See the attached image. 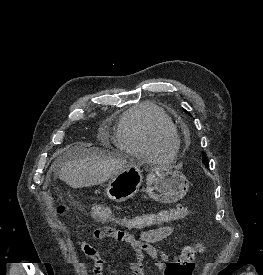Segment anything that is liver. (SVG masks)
<instances>
[{
	"label": "liver",
	"instance_id": "obj_1",
	"mask_svg": "<svg viewBox=\"0 0 263 275\" xmlns=\"http://www.w3.org/2000/svg\"><path fill=\"white\" fill-rule=\"evenodd\" d=\"M133 164L122 157L87 150L68 160L59 170V178L75 189L91 187L106 182Z\"/></svg>",
	"mask_w": 263,
	"mask_h": 275
}]
</instances>
